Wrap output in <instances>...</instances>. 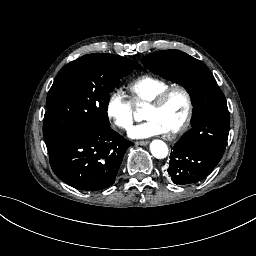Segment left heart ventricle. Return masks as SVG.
Returning a JSON list of instances; mask_svg holds the SVG:
<instances>
[{
	"label": "left heart ventricle",
	"instance_id": "1",
	"mask_svg": "<svg viewBox=\"0 0 256 256\" xmlns=\"http://www.w3.org/2000/svg\"><path fill=\"white\" fill-rule=\"evenodd\" d=\"M185 102L181 94L174 91L164 106L158 110H149V115H159L166 119L170 126L184 113Z\"/></svg>",
	"mask_w": 256,
	"mask_h": 256
}]
</instances>
